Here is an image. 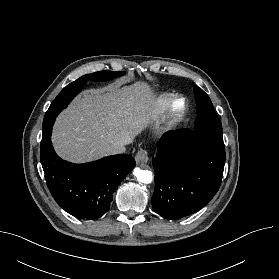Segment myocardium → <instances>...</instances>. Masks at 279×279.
Wrapping results in <instances>:
<instances>
[{
  "mask_svg": "<svg viewBox=\"0 0 279 279\" xmlns=\"http://www.w3.org/2000/svg\"><path fill=\"white\" fill-rule=\"evenodd\" d=\"M181 103L180 108H176V105ZM188 112V103L184 97H173L168 103L165 109V118L170 125L179 123L184 119Z\"/></svg>",
  "mask_w": 279,
  "mask_h": 279,
  "instance_id": "myocardium-1",
  "label": "myocardium"
}]
</instances>
